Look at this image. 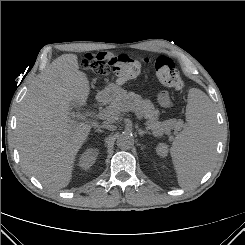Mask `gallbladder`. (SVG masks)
I'll return each instance as SVG.
<instances>
[{
  "label": "gallbladder",
  "instance_id": "bac80fb5",
  "mask_svg": "<svg viewBox=\"0 0 245 245\" xmlns=\"http://www.w3.org/2000/svg\"><path fill=\"white\" fill-rule=\"evenodd\" d=\"M70 106L71 107H76V106H78V104H77L76 101L73 100V101H71Z\"/></svg>",
  "mask_w": 245,
  "mask_h": 245
}]
</instances>
